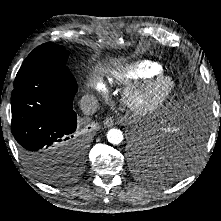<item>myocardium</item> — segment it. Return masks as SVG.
<instances>
[{
    "mask_svg": "<svg viewBox=\"0 0 221 221\" xmlns=\"http://www.w3.org/2000/svg\"><path fill=\"white\" fill-rule=\"evenodd\" d=\"M158 87L162 92L154 95ZM176 82L165 74H158L140 87L128 90L123 98L125 106L136 115H152L162 110L176 92Z\"/></svg>",
    "mask_w": 221,
    "mask_h": 221,
    "instance_id": "1",
    "label": "myocardium"
}]
</instances>
